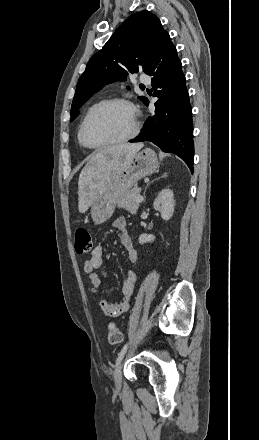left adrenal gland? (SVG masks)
Returning a JSON list of instances; mask_svg holds the SVG:
<instances>
[{
	"label": "left adrenal gland",
	"mask_w": 259,
	"mask_h": 440,
	"mask_svg": "<svg viewBox=\"0 0 259 440\" xmlns=\"http://www.w3.org/2000/svg\"><path fill=\"white\" fill-rule=\"evenodd\" d=\"M163 177H167V173H163V175H161V177L156 178V179L153 180L152 182H154V181H156V180H158V179H160V178H163ZM148 185H149V184H148ZM148 185H147L146 188H145V191H144V197H145V192H146V189H147Z\"/></svg>",
	"instance_id": "left-adrenal-gland-1"
}]
</instances>
